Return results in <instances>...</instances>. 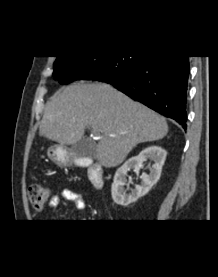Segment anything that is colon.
Segmentation results:
<instances>
[{
    "label": "colon",
    "instance_id": "5ec220e1",
    "mask_svg": "<svg viewBox=\"0 0 218 277\" xmlns=\"http://www.w3.org/2000/svg\"><path fill=\"white\" fill-rule=\"evenodd\" d=\"M28 195L30 203L36 210H42L52 198L50 188L39 183L30 185Z\"/></svg>",
    "mask_w": 218,
    "mask_h": 277
}]
</instances>
